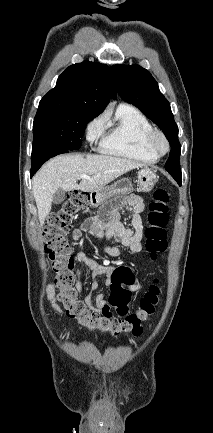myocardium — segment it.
I'll return each instance as SVG.
<instances>
[{
    "label": "myocardium",
    "instance_id": "myocardium-1",
    "mask_svg": "<svg viewBox=\"0 0 213 433\" xmlns=\"http://www.w3.org/2000/svg\"><path fill=\"white\" fill-rule=\"evenodd\" d=\"M147 145L158 156L165 155L170 151V142L166 135L159 130H152L147 136Z\"/></svg>",
    "mask_w": 213,
    "mask_h": 433
}]
</instances>
